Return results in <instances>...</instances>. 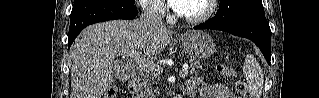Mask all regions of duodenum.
I'll use <instances>...</instances> for the list:
<instances>
[{"mask_svg":"<svg viewBox=\"0 0 319 98\" xmlns=\"http://www.w3.org/2000/svg\"><path fill=\"white\" fill-rule=\"evenodd\" d=\"M140 84H141V80L140 77L138 75L134 76L128 83V89L130 91V93L132 94L133 98H137L138 97V92L140 89ZM178 98H181L180 96H178Z\"/></svg>","mask_w":319,"mask_h":98,"instance_id":"1","label":"duodenum"}]
</instances>
